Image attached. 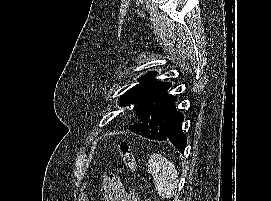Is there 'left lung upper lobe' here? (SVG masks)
Returning <instances> with one entry per match:
<instances>
[{"label": "left lung upper lobe", "mask_w": 271, "mask_h": 201, "mask_svg": "<svg viewBox=\"0 0 271 201\" xmlns=\"http://www.w3.org/2000/svg\"><path fill=\"white\" fill-rule=\"evenodd\" d=\"M156 74L152 71L139 78L140 83L127 90L119 101L121 107L135 104L133 110L139 118L135 125L141 129V136L161 140L169 130L177 99L166 93L171 83L157 81Z\"/></svg>", "instance_id": "1"}]
</instances>
